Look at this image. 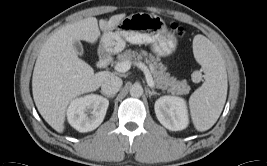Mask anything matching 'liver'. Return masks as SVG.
Returning <instances> with one entry per match:
<instances>
[{
    "instance_id": "6515ba94",
    "label": "liver",
    "mask_w": 267,
    "mask_h": 166,
    "mask_svg": "<svg viewBox=\"0 0 267 166\" xmlns=\"http://www.w3.org/2000/svg\"><path fill=\"white\" fill-rule=\"evenodd\" d=\"M125 14L113 15L108 21L88 17L59 29L44 43L37 57L32 92L36 107L44 120L57 132L65 129L67 107L81 94L97 90L112 74L94 73L93 68L81 60L74 42L95 43L100 31L113 30Z\"/></svg>"
}]
</instances>
